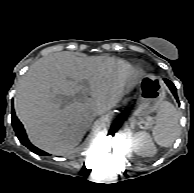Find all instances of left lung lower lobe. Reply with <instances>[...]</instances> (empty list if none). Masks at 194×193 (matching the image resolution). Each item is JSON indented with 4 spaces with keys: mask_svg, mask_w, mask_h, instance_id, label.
<instances>
[{
    "mask_svg": "<svg viewBox=\"0 0 194 193\" xmlns=\"http://www.w3.org/2000/svg\"><path fill=\"white\" fill-rule=\"evenodd\" d=\"M165 82L168 85V87L170 88V90L172 91V93H173L174 97L176 98V100L178 101V97H177V93H176V87L174 86V84L171 81L167 80V79H165ZM120 122L121 121H118L115 124V127H117L120 124Z\"/></svg>",
    "mask_w": 194,
    "mask_h": 193,
    "instance_id": "1",
    "label": "left lung lower lobe"
}]
</instances>
